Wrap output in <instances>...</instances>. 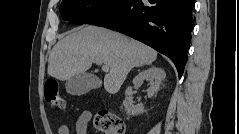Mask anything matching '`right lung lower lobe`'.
I'll return each instance as SVG.
<instances>
[{
	"mask_svg": "<svg viewBox=\"0 0 239 134\" xmlns=\"http://www.w3.org/2000/svg\"><path fill=\"white\" fill-rule=\"evenodd\" d=\"M194 0H119L85 24L139 40L169 57L181 78L193 27Z\"/></svg>",
	"mask_w": 239,
	"mask_h": 134,
	"instance_id": "1",
	"label": "right lung lower lobe"
}]
</instances>
